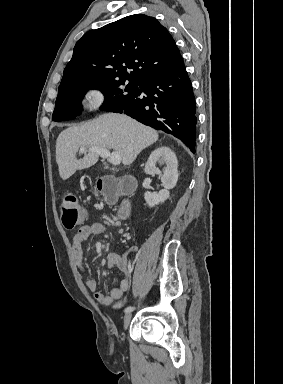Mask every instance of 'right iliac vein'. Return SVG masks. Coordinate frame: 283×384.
Segmentation results:
<instances>
[{
    "mask_svg": "<svg viewBox=\"0 0 283 384\" xmlns=\"http://www.w3.org/2000/svg\"><path fill=\"white\" fill-rule=\"evenodd\" d=\"M131 318H132V312H127L124 316V320H123V326H124V329H127L129 324H130V321H131Z\"/></svg>",
    "mask_w": 283,
    "mask_h": 384,
    "instance_id": "obj_1",
    "label": "right iliac vein"
}]
</instances>
